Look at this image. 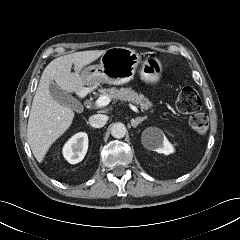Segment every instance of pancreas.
<instances>
[{
    "mask_svg": "<svg viewBox=\"0 0 240 240\" xmlns=\"http://www.w3.org/2000/svg\"><path fill=\"white\" fill-rule=\"evenodd\" d=\"M101 95L108 96L111 100L129 101L139 105L141 110H148L152 107V103L143 94H138L131 88L117 89L112 87L110 89H101ZM153 112V110L151 111Z\"/></svg>",
    "mask_w": 240,
    "mask_h": 240,
    "instance_id": "pancreas-1",
    "label": "pancreas"
}]
</instances>
